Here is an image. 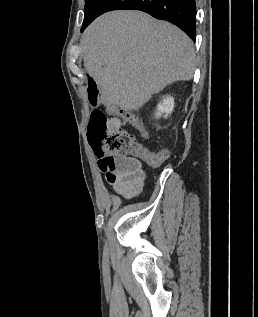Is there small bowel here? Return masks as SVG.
<instances>
[{
    "mask_svg": "<svg viewBox=\"0 0 258 317\" xmlns=\"http://www.w3.org/2000/svg\"><path fill=\"white\" fill-rule=\"evenodd\" d=\"M111 126L119 128L131 124L147 135L137 118L124 113H112ZM165 159L169 150L164 148L159 151ZM98 158L99 169L105 174L106 182L112 186L113 191L124 199H131L140 195L144 188L145 172L138 159L125 156H109L95 152Z\"/></svg>",
    "mask_w": 258,
    "mask_h": 317,
    "instance_id": "obj_1",
    "label": "small bowel"
}]
</instances>
